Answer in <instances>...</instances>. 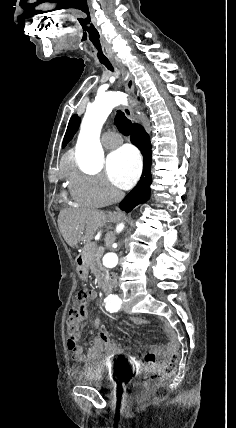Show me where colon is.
<instances>
[{
    "mask_svg": "<svg viewBox=\"0 0 236 428\" xmlns=\"http://www.w3.org/2000/svg\"><path fill=\"white\" fill-rule=\"evenodd\" d=\"M91 297V292L84 288L81 289L76 295V301L74 306L69 312L68 320V344L71 348H76V336L80 324L86 319V310ZM179 360L178 351L174 350L168 362L158 371L145 375L141 384L146 390H152L167 380L173 374L175 367Z\"/></svg>",
    "mask_w": 236,
    "mask_h": 428,
    "instance_id": "colon-1",
    "label": "colon"
}]
</instances>
